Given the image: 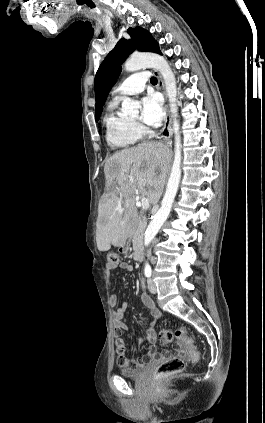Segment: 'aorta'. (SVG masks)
Here are the masks:
<instances>
[{"label": "aorta", "mask_w": 265, "mask_h": 423, "mask_svg": "<svg viewBox=\"0 0 265 423\" xmlns=\"http://www.w3.org/2000/svg\"><path fill=\"white\" fill-rule=\"evenodd\" d=\"M142 68H154L158 70L163 77L166 93L169 99L170 112L173 118V131L175 136L174 160L166 192L163 197L161 207L153 216V219L145 231L144 245L145 247H148L170 214L181 179L182 145L179 133L180 124L177 120L178 108L176 105V79L172 69L163 56L155 53L133 54L125 63V70L128 72H134ZM139 107L140 104L138 101L125 97L122 102L121 111L124 115H131L137 113Z\"/></svg>", "instance_id": "aorta-1"}]
</instances>
